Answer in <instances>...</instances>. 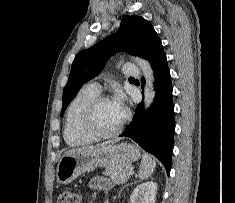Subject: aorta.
Returning <instances> with one entry per match:
<instances>
[{"label":"aorta","mask_w":235,"mask_h":203,"mask_svg":"<svg viewBox=\"0 0 235 203\" xmlns=\"http://www.w3.org/2000/svg\"><path fill=\"white\" fill-rule=\"evenodd\" d=\"M135 62L138 64L145 77L146 83L144 87V106L145 109H147L153 103V100L155 98L154 73L150 66V63L147 60L136 57Z\"/></svg>","instance_id":"obj_1"}]
</instances>
